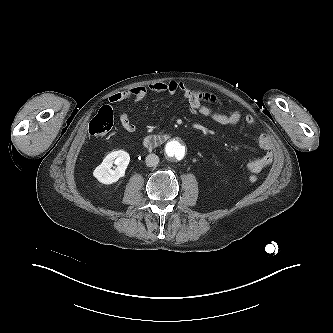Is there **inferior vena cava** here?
<instances>
[{"mask_svg": "<svg viewBox=\"0 0 333 333\" xmlns=\"http://www.w3.org/2000/svg\"><path fill=\"white\" fill-rule=\"evenodd\" d=\"M148 167L156 166L159 163V157L156 154H149L145 159Z\"/></svg>", "mask_w": 333, "mask_h": 333, "instance_id": "obj_1", "label": "inferior vena cava"}]
</instances>
